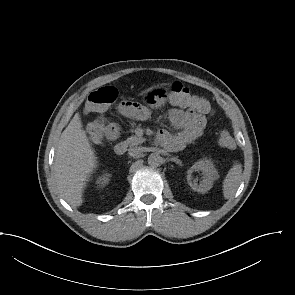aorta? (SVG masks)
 Segmentation results:
<instances>
[{
	"label": "aorta",
	"instance_id": "762f6f07",
	"mask_svg": "<svg viewBox=\"0 0 295 295\" xmlns=\"http://www.w3.org/2000/svg\"><path fill=\"white\" fill-rule=\"evenodd\" d=\"M148 164L153 167L160 166L163 162V158L158 153H152L148 156Z\"/></svg>",
	"mask_w": 295,
	"mask_h": 295
}]
</instances>
